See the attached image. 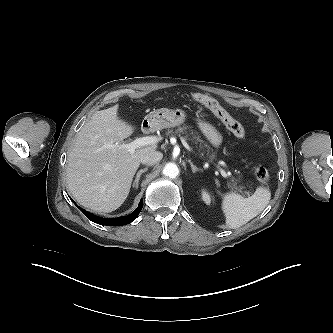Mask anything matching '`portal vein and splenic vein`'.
I'll return each instance as SVG.
<instances>
[{"mask_svg": "<svg viewBox=\"0 0 333 333\" xmlns=\"http://www.w3.org/2000/svg\"><path fill=\"white\" fill-rule=\"evenodd\" d=\"M157 142H158V138L156 136H146V137L136 138L134 141H132L128 144H124V143L115 144L114 146L121 148V149L128 150L129 152L133 153L135 151V149H137V148L147 146V145H153ZM181 142L186 149L191 150V148L189 147V145L187 144L185 139L182 137H181ZM220 173L224 178L228 177V174L224 170L221 169Z\"/></svg>", "mask_w": 333, "mask_h": 333, "instance_id": "18ae733b", "label": "portal vein and splenic vein"}]
</instances>
